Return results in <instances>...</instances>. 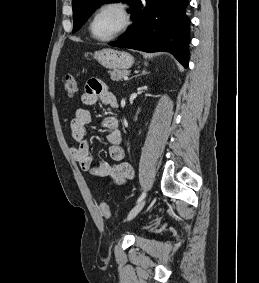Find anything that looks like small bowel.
Listing matches in <instances>:
<instances>
[{"mask_svg": "<svg viewBox=\"0 0 259 283\" xmlns=\"http://www.w3.org/2000/svg\"><path fill=\"white\" fill-rule=\"evenodd\" d=\"M101 101L110 107H117L116 97L107 89L106 85L96 79L89 80L85 92L81 96V102L85 106H91ZM91 113L85 107H80L71 120L70 129L76 146L70 148L72 158L80 168L98 178H107L116 184H122L131 180L134 176L132 166L126 162L125 151L121 146L122 133L119 129V121L116 117H106L101 125L107 130L108 154L114 164L102 160H95L90 154L87 125L91 122Z\"/></svg>", "mask_w": 259, "mask_h": 283, "instance_id": "c3829d8e", "label": "small bowel"}]
</instances>
